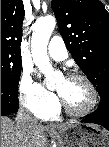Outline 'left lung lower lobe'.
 <instances>
[{
	"label": "left lung lower lobe",
	"instance_id": "0a47b994",
	"mask_svg": "<svg viewBox=\"0 0 109 147\" xmlns=\"http://www.w3.org/2000/svg\"><path fill=\"white\" fill-rule=\"evenodd\" d=\"M100 98L101 101L96 111L81 122L95 123L109 131V92L101 94Z\"/></svg>",
	"mask_w": 109,
	"mask_h": 147
}]
</instances>
